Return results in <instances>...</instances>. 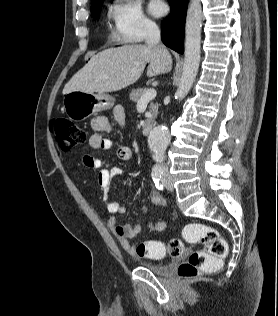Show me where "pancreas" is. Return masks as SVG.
<instances>
[{
	"label": "pancreas",
	"instance_id": "pancreas-1",
	"mask_svg": "<svg viewBox=\"0 0 278 316\" xmlns=\"http://www.w3.org/2000/svg\"><path fill=\"white\" fill-rule=\"evenodd\" d=\"M147 90H148V88H146V87L139 88V89H132V91L130 92V95H129L130 100L135 102V103L138 102ZM149 109H150L151 117L148 118L146 120V122H150L156 117L157 112H158V104L151 102L149 105Z\"/></svg>",
	"mask_w": 278,
	"mask_h": 316
}]
</instances>
